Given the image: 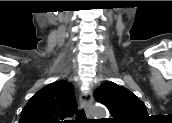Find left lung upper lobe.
I'll return each instance as SVG.
<instances>
[{
	"mask_svg": "<svg viewBox=\"0 0 172 123\" xmlns=\"http://www.w3.org/2000/svg\"><path fill=\"white\" fill-rule=\"evenodd\" d=\"M94 95L108 108L112 123H139L148 118L145 104L131 91L113 82L101 84Z\"/></svg>",
	"mask_w": 172,
	"mask_h": 123,
	"instance_id": "5c2ea615",
	"label": "left lung upper lobe"
}]
</instances>
